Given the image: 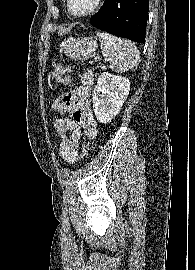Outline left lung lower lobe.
I'll list each match as a JSON object with an SVG mask.
<instances>
[{
	"mask_svg": "<svg viewBox=\"0 0 195 270\" xmlns=\"http://www.w3.org/2000/svg\"><path fill=\"white\" fill-rule=\"evenodd\" d=\"M149 0H105L92 26L135 42L144 43Z\"/></svg>",
	"mask_w": 195,
	"mask_h": 270,
	"instance_id": "obj_1",
	"label": "left lung lower lobe"
}]
</instances>
